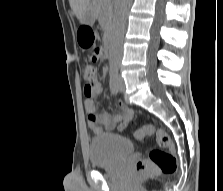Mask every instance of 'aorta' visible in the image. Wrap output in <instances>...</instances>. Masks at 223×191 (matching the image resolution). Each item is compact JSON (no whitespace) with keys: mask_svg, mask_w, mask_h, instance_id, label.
<instances>
[{"mask_svg":"<svg viewBox=\"0 0 223 191\" xmlns=\"http://www.w3.org/2000/svg\"><path fill=\"white\" fill-rule=\"evenodd\" d=\"M131 2L132 0H117L115 6L113 33L109 49V61L111 65L118 66L122 59L124 29Z\"/></svg>","mask_w":223,"mask_h":191,"instance_id":"obj_1","label":"aorta"}]
</instances>
